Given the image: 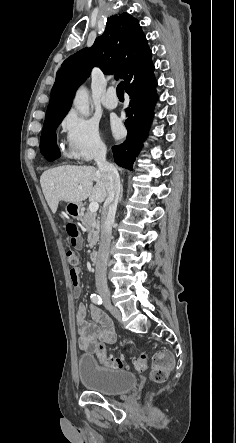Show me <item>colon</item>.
<instances>
[{"instance_id": "colon-1", "label": "colon", "mask_w": 236, "mask_h": 443, "mask_svg": "<svg viewBox=\"0 0 236 443\" xmlns=\"http://www.w3.org/2000/svg\"><path fill=\"white\" fill-rule=\"evenodd\" d=\"M66 233L71 243L79 240V230L74 223L66 225ZM66 258L71 266L70 277L72 283L78 282L76 269L80 263V255L73 249H68ZM97 360L104 366L115 369H127L129 365L124 361L123 357L108 356L103 344H96L93 350ZM174 359L170 352L163 351L158 353L152 360L151 379L156 383H163L173 367ZM132 366L138 371H145L148 367L147 356L144 353L139 354L132 361Z\"/></svg>"}]
</instances>
